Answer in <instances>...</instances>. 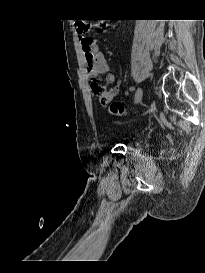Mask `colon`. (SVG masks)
I'll return each mask as SVG.
<instances>
[{
  "label": "colon",
  "instance_id": "colon-1",
  "mask_svg": "<svg viewBox=\"0 0 205 273\" xmlns=\"http://www.w3.org/2000/svg\"><path fill=\"white\" fill-rule=\"evenodd\" d=\"M75 27L78 34L84 35L90 31L91 25L88 22L77 20L75 21ZM91 88L94 94L99 96L103 103H108L113 95L112 90L98 81H93L91 83ZM109 112L114 116H122L126 112V106L123 102H113L109 107Z\"/></svg>",
  "mask_w": 205,
  "mask_h": 273
}]
</instances>
